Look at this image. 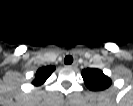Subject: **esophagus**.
I'll list each match as a JSON object with an SVG mask.
<instances>
[{"mask_svg":"<svg viewBox=\"0 0 133 106\" xmlns=\"http://www.w3.org/2000/svg\"><path fill=\"white\" fill-rule=\"evenodd\" d=\"M77 66H78L77 62H74L71 65H69V67H71V68H76Z\"/></svg>","mask_w":133,"mask_h":106,"instance_id":"esophagus-1","label":"esophagus"}]
</instances>
